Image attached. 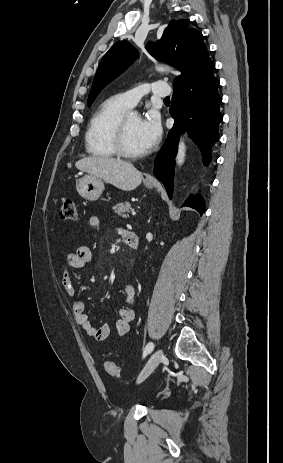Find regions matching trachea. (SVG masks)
<instances>
[{
	"label": "trachea",
	"mask_w": 283,
	"mask_h": 463,
	"mask_svg": "<svg viewBox=\"0 0 283 463\" xmlns=\"http://www.w3.org/2000/svg\"><path fill=\"white\" fill-rule=\"evenodd\" d=\"M164 100H165V101H170V98H169V97H166Z\"/></svg>",
	"instance_id": "3493384b"
}]
</instances>
